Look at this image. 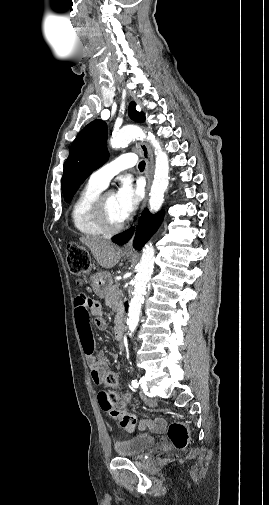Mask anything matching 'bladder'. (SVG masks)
Masks as SVG:
<instances>
[{
	"instance_id": "31cf9c89",
	"label": "bladder",
	"mask_w": 269,
	"mask_h": 505,
	"mask_svg": "<svg viewBox=\"0 0 269 505\" xmlns=\"http://www.w3.org/2000/svg\"><path fill=\"white\" fill-rule=\"evenodd\" d=\"M156 442L154 436L138 434L131 438L118 441L114 444V450L119 457H140L144 455Z\"/></svg>"
}]
</instances>
